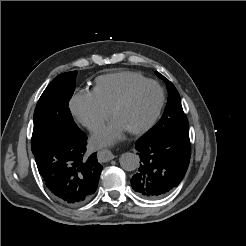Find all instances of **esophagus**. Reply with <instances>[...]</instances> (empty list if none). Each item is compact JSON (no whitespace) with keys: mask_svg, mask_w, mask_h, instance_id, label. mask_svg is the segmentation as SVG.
I'll return each instance as SVG.
<instances>
[{"mask_svg":"<svg viewBox=\"0 0 246 246\" xmlns=\"http://www.w3.org/2000/svg\"><path fill=\"white\" fill-rule=\"evenodd\" d=\"M114 154L107 149L98 152V158L101 162H108L114 158Z\"/></svg>","mask_w":246,"mask_h":246,"instance_id":"1","label":"esophagus"}]
</instances>
